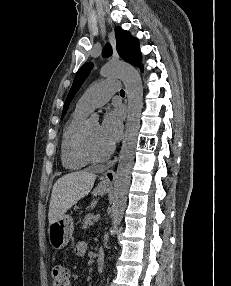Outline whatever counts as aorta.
<instances>
[{"label": "aorta", "instance_id": "aorta-1", "mask_svg": "<svg viewBox=\"0 0 231 286\" xmlns=\"http://www.w3.org/2000/svg\"><path fill=\"white\" fill-rule=\"evenodd\" d=\"M101 75L105 77H118L125 86L128 98V114L122 147L119 155L114 194L112 203L111 235H115L123 218L127 193L130 185L131 172L137 138L140 128V116L143 107V85L139 72L131 65L125 63L109 62L101 68ZM96 113L91 115L92 120H98Z\"/></svg>", "mask_w": 231, "mask_h": 286}]
</instances>
